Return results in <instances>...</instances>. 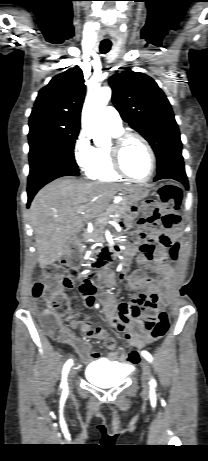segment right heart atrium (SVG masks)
I'll return each mask as SVG.
<instances>
[{
    "instance_id": "1",
    "label": "right heart atrium",
    "mask_w": 208,
    "mask_h": 461,
    "mask_svg": "<svg viewBox=\"0 0 208 461\" xmlns=\"http://www.w3.org/2000/svg\"><path fill=\"white\" fill-rule=\"evenodd\" d=\"M94 147L90 143L86 134L81 131L74 143L73 156L76 164L81 168L85 169L89 164Z\"/></svg>"
}]
</instances>
